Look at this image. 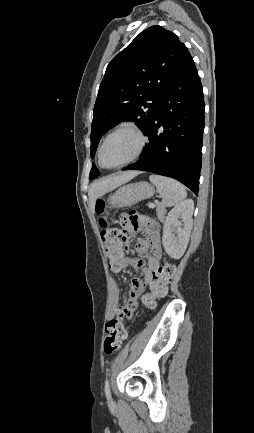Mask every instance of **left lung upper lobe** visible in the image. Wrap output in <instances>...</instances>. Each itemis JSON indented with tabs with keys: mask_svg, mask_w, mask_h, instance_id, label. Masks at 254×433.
I'll return each instance as SVG.
<instances>
[{
	"mask_svg": "<svg viewBox=\"0 0 254 433\" xmlns=\"http://www.w3.org/2000/svg\"><path fill=\"white\" fill-rule=\"evenodd\" d=\"M188 53L171 31L151 26L108 64L93 110L91 156L99 140L122 120L135 121L146 132L159 102ZM100 175L93 164L89 179Z\"/></svg>",
	"mask_w": 254,
	"mask_h": 433,
	"instance_id": "5c2ea615",
	"label": "left lung upper lobe"
}]
</instances>
